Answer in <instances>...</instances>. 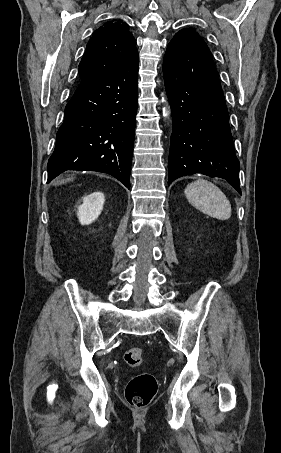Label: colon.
I'll use <instances>...</instances> for the list:
<instances>
[{
    "mask_svg": "<svg viewBox=\"0 0 281 453\" xmlns=\"http://www.w3.org/2000/svg\"><path fill=\"white\" fill-rule=\"evenodd\" d=\"M124 362L130 367H140L144 364V354L140 348L127 350L123 355ZM157 392V381L154 375L148 373H136L130 376L125 389L127 402L135 408L146 407Z\"/></svg>",
    "mask_w": 281,
    "mask_h": 453,
    "instance_id": "colon-1",
    "label": "colon"
}]
</instances>
